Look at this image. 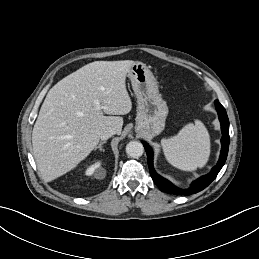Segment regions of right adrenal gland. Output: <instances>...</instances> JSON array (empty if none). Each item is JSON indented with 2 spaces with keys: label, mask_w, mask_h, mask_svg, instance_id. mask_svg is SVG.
Returning a JSON list of instances; mask_svg holds the SVG:
<instances>
[{
  "label": "right adrenal gland",
  "mask_w": 259,
  "mask_h": 259,
  "mask_svg": "<svg viewBox=\"0 0 259 259\" xmlns=\"http://www.w3.org/2000/svg\"><path fill=\"white\" fill-rule=\"evenodd\" d=\"M105 143H106V141L100 142L99 145L97 147H95L94 150L96 151L97 149H99L101 152L102 151L104 152V149L102 148V145L105 144Z\"/></svg>",
  "instance_id": "right-adrenal-gland-1"
}]
</instances>
